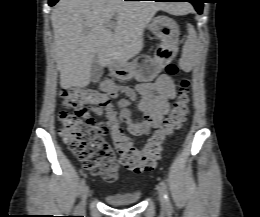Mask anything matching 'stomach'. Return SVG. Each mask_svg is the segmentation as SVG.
Returning <instances> with one entry per match:
<instances>
[{
	"instance_id": "stomach-1",
	"label": "stomach",
	"mask_w": 260,
	"mask_h": 217,
	"mask_svg": "<svg viewBox=\"0 0 260 217\" xmlns=\"http://www.w3.org/2000/svg\"><path fill=\"white\" fill-rule=\"evenodd\" d=\"M150 30L161 40L154 52V57H140L132 62L118 61L112 64L113 73L117 78L130 79L134 77L139 82H151L178 52L179 31L176 23L169 17H155Z\"/></svg>"
}]
</instances>
